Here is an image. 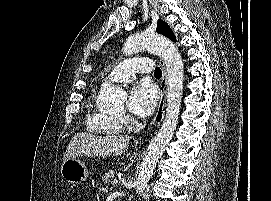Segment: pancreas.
<instances>
[{"label":"pancreas","mask_w":271,"mask_h":201,"mask_svg":"<svg viewBox=\"0 0 271 201\" xmlns=\"http://www.w3.org/2000/svg\"><path fill=\"white\" fill-rule=\"evenodd\" d=\"M115 177L114 171L110 170L104 174L102 177V182L104 183H110V179H113Z\"/></svg>","instance_id":"cf45deb5"}]
</instances>
